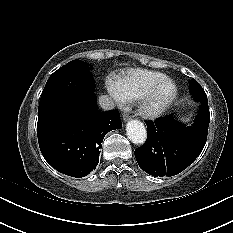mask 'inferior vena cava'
I'll use <instances>...</instances> for the list:
<instances>
[{"mask_svg":"<svg viewBox=\"0 0 233 233\" xmlns=\"http://www.w3.org/2000/svg\"><path fill=\"white\" fill-rule=\"evenodd\" d=\"M99 105L103 110H111L115 107L114 101L107 95L99 97Z\"/></svg>","mask_w":233,"mask_h":233,"instance_id":"1","label":"inferior vena cava"}]
</instances>
